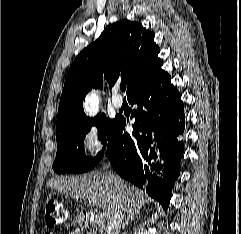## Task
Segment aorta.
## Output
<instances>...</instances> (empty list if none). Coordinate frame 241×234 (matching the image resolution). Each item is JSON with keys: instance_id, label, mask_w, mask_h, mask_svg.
<instances>
[{"instance_id": "1", "label": "aorta", "mask_w": 241, "mask_h": 234, "mask_svg": "<svg viewBox=\"0 0 241 234\" xmlns=\"http://www.w3.org/2000/svg\"><path fill=\"white\" fill-rule=\"evenodd\" d=\"M98 96L96 93H90L87 95L84 108L88 115H94L97 111Z\"/></svg>"}]
</instances>
